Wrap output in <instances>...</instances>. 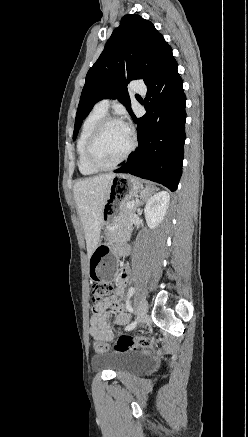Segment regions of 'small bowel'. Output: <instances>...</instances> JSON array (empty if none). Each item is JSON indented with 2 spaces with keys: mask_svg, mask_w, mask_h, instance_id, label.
<instances>
[{
  "mask_svg": "<svg viewBox=\"0 0 248 437\" xmlns=\"http://www.w3.org/2000/svg\"><path fill=\"white\" fill-rule=\"evenodd\" d=\"M128 278L129 270L123 268L119 274L115 294L94 306L89 327V333L94 339L111 341L114 337L113 325L121 327L128 322L129 316L122 310L124 304V286ZM109 309L115 315L113 324L110 322L111 314L108 311Z\"/></svg>",
  "mask_w": 248,
  "mask_h": 437,
  "instance_id": "obj_1",
  "label": "small bowel"
}]
</instances>
